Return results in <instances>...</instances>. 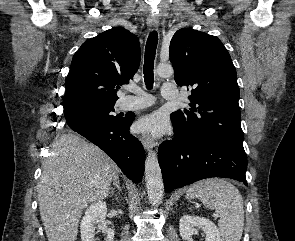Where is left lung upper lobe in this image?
<instances>
[{"label":"left lung upper lobe","instance_id":"left-lung-upper-lobe-1","mask_svg":"<svg viewBox=\"0 0 295 241\" xmlns=\"http://www.w3.org/2000/svg\"><path fill=\"white\" fill-rule=\"evenodd\" d=\"M169 54L176 83L191 88L190 110L171 114L181 135L187 139L220 137L243 144L236 70L222 42L183 28L173 35Z\"/></svg>","mask_w":295,"mask_h":241}]
</instances>
